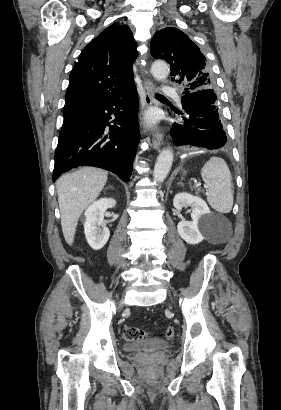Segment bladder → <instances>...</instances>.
Instances as JSON below:
<instances>
[{
	"label": "bladder",
	"instance_id": "bladder-1",
	"mask_svg": "<svg viewBox=\"0 0 281 410\" xmlns=\"http://www.w3.org/2000/svg\"><path fill=\"white\" fill-rule=\"evenodd\" d=\"M169 347L170 343L159 339L130 341L125 344V350L133 353H154Z\"/></svg>",
	"mask_w": 281,
	"mask_h": 410
}]
</instances>
